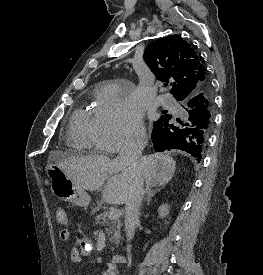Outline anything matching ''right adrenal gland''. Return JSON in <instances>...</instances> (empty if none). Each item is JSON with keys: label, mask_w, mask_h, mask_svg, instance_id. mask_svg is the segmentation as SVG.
<instances>
[{"label": "right adrenal gland", "mask_w": 263, "mask_h": 275, "mask_svg": "<svg viewBox=\"0 0 263 275\" xmlns=\"http://www.w3.org/2000/svg\"><path fill=\"white\" fill-rule=\"evenodd\" d=\"M162 188H159L157 190H152L151 187L149 186H146V189H145V194H146V200L145 202L147 203V205L150 204L152 198L161 190ZM143 205V204H142Z\"/></svg>", "instance_id": "2a0ac1e0"}]
</instances>
